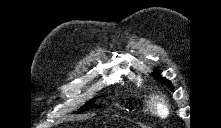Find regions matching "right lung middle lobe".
Here are the masks:
<instances>
[{"label": "right lung middle lobe", "mask_w": 221, "mask_h": 128, "mask_svg": "<svg viewBox=\"0 0 221 128\" xmlns=\"http://www.w3.org/2000/svg\"><path fill=\"white\" fill-rule=\"evenodd\" d=\"M95 103V99H91L90 101H88L84 106H82L79 111L80 112H84L86 110H88L89 108H93Z\"/></svg>", "instance_id": "1"}]
</instances>
